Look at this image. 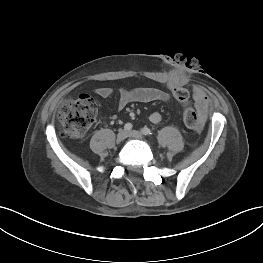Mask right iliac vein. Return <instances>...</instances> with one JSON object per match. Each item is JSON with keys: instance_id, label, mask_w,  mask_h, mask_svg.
I'll use <instances>...</instances> for the list:
<instances>
[{"instance_id": "1", "label": "right iliac vein", "mask_w": 263, "mask_h": 263, "mask_svg": "<svg viewBox=\"0 0 263 263\" xmlns=\"http://www.w3.org/2000/svg\"><path fill=\"white\" fill-rule=\"evenodd\" d=\"M126 137H127V131L124 129L119 130L117 134V141L122 142L126 139Z\"/></svg>"}]
</instances>
